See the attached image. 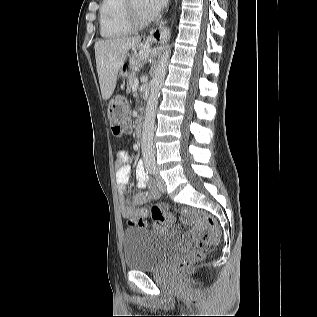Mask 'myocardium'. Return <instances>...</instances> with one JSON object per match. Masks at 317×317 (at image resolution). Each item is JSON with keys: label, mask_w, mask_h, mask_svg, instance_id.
<instances>
[{"label": "myocardium", "mask_w": 317, "mask_h": 317, "mask_svg": "<svg viewBox=\"0 0 317 317\" xmlns=\"http://www.w3.org/2000/svg\"><path fill=\"white\" fill-rule=\"evenodd\" d=\"M124 11L128 24L133 30H140L150 25V18H141L133 7L132 0H124Z\"/></svg>", "instance_id": "myocardium-1"}]
</instances>
